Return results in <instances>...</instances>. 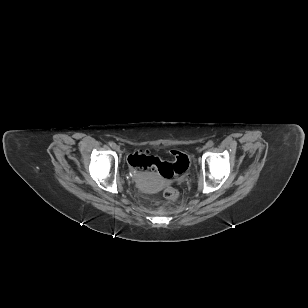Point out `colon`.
I'll use <instances>...</instances> for the list:
<instances>
[{"label":"colon","mask_w":308,"mask_h":308,"mask_svg":"<svg viewBox=\"0 0 308 308\" xmlns=\"http://www.w3.org/2000/svg\"><path fill=\"white\" fill-rule=\"evenodd\" d=\"M171 154L174 157L172 162H162L145 151H139L129 157V162L134 167L157 170L163 177L171 178L174 175L182 174L189 166V159L185 153L174 150L171 151ZM164 197L169 201H176L179 192L169 186L164 190Z\"/></svg>","instance_id":"5ec220e1"}]
</instances>
